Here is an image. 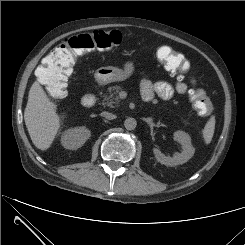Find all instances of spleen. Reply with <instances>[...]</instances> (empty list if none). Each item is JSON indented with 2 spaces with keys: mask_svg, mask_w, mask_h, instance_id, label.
Masks as SVG:
<instances>
[{
  "mask_svg": "<svg viewBox=\"0 0 245 245\" xmlns=\"http://www.w3.org/2000/svg\"><path fill=\"white\" fill-rule=\"evenodd\" d=\"M214 130H215V117L212 116L209 121L206 123L202 134H203V139L206 144H209L213 138L214 135Z\"/></svg>",
  "mask_w": 245,
  "mask_h": 245,
  "instance_id": "obj_1",
  "label": "spleen"
}]
</instances>
